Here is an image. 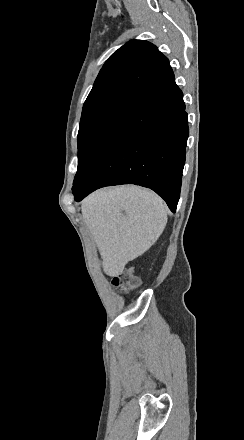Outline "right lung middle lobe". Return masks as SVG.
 Instances as JSON below:
<instances>
[{"label":"right lung middle lobe","mask_w":244,"mask_h":440,"mask_svg":"<svg viewBox=\"0 0 244 440\" xmlns=\"http://www.w3.org/2000/svg\"><path fill=\"white\" fill-rule=\"evenodd\" d=\"M140 98L119 95L105 101L84 104L78 132V169L75 184L116 124Z\"/></svg>","instance_id":"right-lung-middle-lobe-1"}]
</instances>
